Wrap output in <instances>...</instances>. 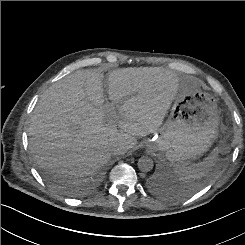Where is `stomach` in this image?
I'll return each mask as SVG.
<instances>
[{
    "label": "stomach",
    "mask_w": 245,
    "mask_h": 245,
    "mask_svg": "<svg viewBox=\"0 0 245 245\" xmlns=\"http://www.w3.org/2000/svg\"><path fill=\"white\" fill-rule=\"evenodd\" d=\"M219 126L216 98L184 79L170 115L148 146L172 163L189 164L209 150Z\"/></svg>",
    "instance_id": "obj_1"
}]
</instances>
